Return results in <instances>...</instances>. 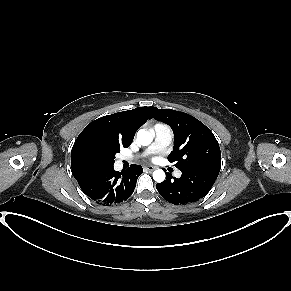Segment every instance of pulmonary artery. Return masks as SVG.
Wrapping results in <instances>:
<instances>
[{
  "label": "pulmonary artery",
  "instance_id": "pulmonary-artery-1",
  "mask_svg": "<svg viewBox=\"0 0 291 291\" xmlns=\"http://www.w3.org/2000/svg\"><path fill=\"white\" fill-rule=\"evenodd\" d=\"M155 140L151 146H149L141 156H146L155 152L164 150L169 146L172 141V131L169 126L164 124H157L154 127ZM128 157H123L122 160H129ZM176 177L181 176L180 171L175 172Z\"/></svg>",
  "mask_w": 291,
  "mask_h": 291
}]
</instances>
